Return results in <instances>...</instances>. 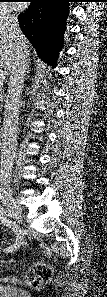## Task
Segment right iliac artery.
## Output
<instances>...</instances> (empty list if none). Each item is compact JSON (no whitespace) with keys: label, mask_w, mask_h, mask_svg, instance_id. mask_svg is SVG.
Returning a JSON list of instances; mask_svg holds the SVG:
<instances>
[{"label":"right iliac artery","mask_w":107,"mask_h":297,"mask_svg":"<svg viewBox=\"0 0 107 297\" xmlns=\"http://www.w3.org/2000/svg\"><path fill=\"white\" fill-rule=\"evenodd\" d=\"M6 195L4 194L3 191H0V198L3 201V203L5 205H7L6 202ZM0 215H1V221L6 224L7 226H9L10 228H12V230L16 233L17 236H19L21 234V229L15 224V222H12L11 220H9L7 217L11 216V213L9 210H5L3 208H1L0 210ZM6 251L8 252H12V246L7 248Z\"/></svg>","instance_id":"obj_1"}]
</instances>
